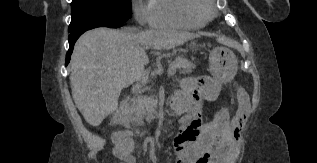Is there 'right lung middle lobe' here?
<instances>
[{
	"label": "right lung middle lobe",
	"mask_w": 317,
	"mask_h": 163,
	"mask_svg": "<svg viewBox=\"0 0 317 163\" xmlns=\"http://www.w3.org/2000/svg\"><path fill=\"white\" fill-rule=\"evenodd\" d=\"M69 38L100 24H122L131 18V0H72Z\"/></svg>",
	"instance_id": "obj_1"
}]
</instances>
